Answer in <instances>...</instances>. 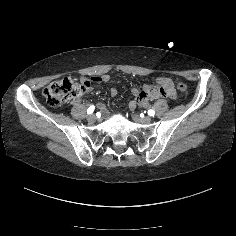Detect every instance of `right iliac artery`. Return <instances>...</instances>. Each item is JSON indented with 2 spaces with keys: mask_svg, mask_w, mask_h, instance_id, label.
I'll list each match as a JSON object with an SVG mask.
<instances>
[{
  "mask_svg": "<svg viewBox=\"0 0 236 236\" xmlns=\"http://www.w3.org/2000/svg\"><path fill=\"white\" fill-rule=\"evenodd\" d=\"M94 109H95V107H94L93 105L90 106V107L87 109V114L93 113Z\"/></svg>",
  "mask_w": 236,
  "mask_h": 236,
  "instance_id": "82829eb1",
  "label": "right iliac artery"
}]
</instances>
